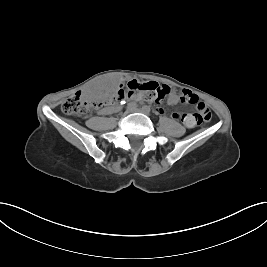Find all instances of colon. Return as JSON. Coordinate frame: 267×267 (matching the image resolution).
I'll return each instance as SVG.
<instances>
[{"label": "colon", "instance_id": "1", "mask_svg": "<svg viewBox=\"0 0 267 267\" xmlns=\"http://www.w3.org/2000/svg\"><path fill=\"white\" fill-rule=\"evenodd\" d=\"M169 92L168 86L154 81L142 82L132 80L128 83L126 90L119 89L117 92L109 94L106 100L101 102L89 101L82 93L77 92L63 101L61 109L67 115L84 116L93 110L131 97H139L142 100L158 104L166 98ZM181 101L188 104H196L197 113L192 115L196 124H205L210 121L211 113L208 107L206 105V107H197L198 98L190 91L182 92Z\"/></svg>", "mask_w": 267, "mask_h": 267}]
</instances>
